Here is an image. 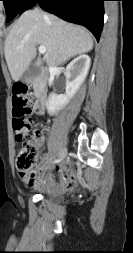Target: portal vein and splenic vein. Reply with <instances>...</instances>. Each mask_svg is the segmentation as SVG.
<instances>
[{
	"mask_svg": "<svg viewBox=\"0 0 133 253\" xmlns=\"http://www.w3.org/2000/svg\"><path fill=\"white\" fill-rule=\"evenodd\" d=\"M39 53L45 54L46 53V47L45 46H39Z\"/></svg>",
	"mask_w": 133,
	"mask_h": 253,
	"instance_id": "obj_1",
	"label": "portal vein and splenic vein"
}]
</instances>
